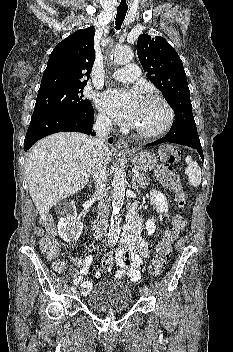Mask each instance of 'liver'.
Masks as SVG:
<instances>
[{
	"instance_id": "1",
	"label": "liver",
	"mask_w": 233,
	"mask_h": 352,
	"mask_svg": "<svg viewBox=\"0 0 233 352\" xmlns=\"http://www.w3.org/2000/svg\"><path fill=\"white\" fill-rule=\"evenodd\" d=\"M111 156L109 146H104L106 163ZM92 159V138L82 133H55L32 147L25 174L30 196L42 219L53 205L84 188L91 175Z\"/></svg>"
}]
</instances>
